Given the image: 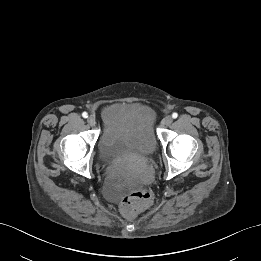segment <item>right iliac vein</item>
<instances>
[{"label":"right iliac vein","instance_id":"right-iliac-vein-1","mask_svg":"<svg viewBox=\"0 0 261 261\" xmlns=\"http://www.w3.org/2000/svg\"><path fill=\"white\" fill-rule=\"evenodd\" d=\"M87 122H88V124H89L90 126H95V124H96V119H95L94 116H89V117L87 118Z\"/></svg>","mask_w":261,"mask_h":261}]
</instances>
